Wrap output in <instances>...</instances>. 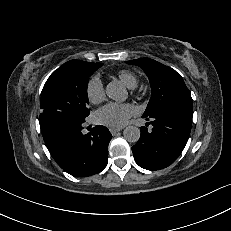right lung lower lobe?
Returning a JSON list of instances; mask_svg holds the SVG:
<instances>
[{
  "instance_id": "right-lung-lower-lobe-1",
  "label": "right lung lower lobe",
  "mask_w": 231,
  "mask_h": 231,
  "mask_svg": "<svg viewBox=\"0 0 231 231\" xmlns=\"http://www.w3.org/2000/svg\"><path fill=\"white\" fill-rule=\"evenodd\" d=\"M81 121H68L43 135L56 163L75 177H87L102 171L108 161V144L112 138L104 126L82 134Z\"/></svg>"
}]
</instances>
